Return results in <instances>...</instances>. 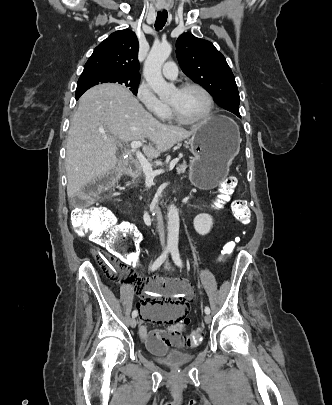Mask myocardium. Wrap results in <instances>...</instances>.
<instances>
[{
  "label": "myocardium",
  "instance_id": "obj_1",
  "mask_svg": "<svg viewBox=\"0 0 332 405\" xmlns=\"http://www.w3.org/2000/svg\"><path fill=\"white\" fill-rule=\"evenodd\" d=\"M188 89H197L205 95V97L208 101V107H207L206 112L202 116H200L196 119H186L181 116V114L178 112V110L172 104H169L170 113L174 120H176L177 122L182 123V124L195 125V124L203 123L206 120H208L211 117V115L213 114L214 99H213L211 93L204 86H202L198 83L187 82V83L180 85L177 88V90H179V91H185Z\"/></svg>",
  "mask_w": 332,
  "mask_h": 405
}]
</instances>
